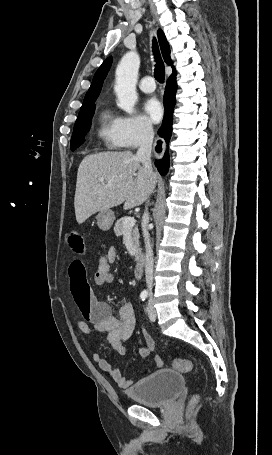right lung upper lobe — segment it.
Instances as JSON below:
<instances>
[{
    "label": "right lung upper lobe",
    "instance_id": "cb5924a9",
    "mask_svg": "<svg viewBox=\"0 0 272 455\" xmlns=\"http://www.w3.org/2000/svg\"><path fill=\"white\" fill-rule=\"evenodd\" d=\"M158 40H159V43H160V47H161V51H162V55H163L164 61L166 62V64L172 66L173 74H175L176 73L175 72V68L172 65V60H171V57H170V47H169V44H168V42L166 40V37H165V35H164L162 30H158ZM111 63H112V57H108L102 63V65L99 67V69L96 71V73H95V75L93 77L92 84H91V86H90V88H89V90L86 93V96L84 98L83 105L91 103V102H95V100L97 99V97H98V95H99V93L101 91L104 79L106 78V76L108 74V71L110 69Z\"/></svg>",
    "mask_w": 272,
    "mask_h": 455
}]
</instances>
